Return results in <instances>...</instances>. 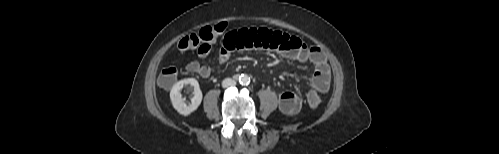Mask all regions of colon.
Segmentation results:
<instances>
[{
    "label": "colon",
    "instance_id": "1",
    "mask_svg": "<svg viewBox=\"0 0 499 154\" xmlns=\"http://www.w3.org/2000/svg\"><path fill=\"white\" fill-rule=\"evenodd\" d=\"M226 27V23L205 26L199 31L190 33L181 38L177 43V47L181 51L196 49L203 43L213 42L219 35L224 33ZM177 75L178 72L175 67H165L158 77V83L161 87L170 89L175 84ZM306 101L311 109H316L319 106L321 99L318 93L309 91Z\"/></svg>",
    "mask_w": 499,
    "mask_h": 154
}]
</instances>
